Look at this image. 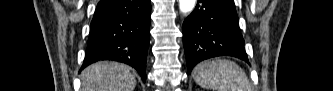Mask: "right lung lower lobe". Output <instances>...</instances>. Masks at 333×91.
Masks as SVG:
<instances>
[{
    "mask_svg": "<svg viewBox=\"0 0 333 91\" xmlns=\"http://www.w3.org/2000/svg\"><path fill=\"white\" fill-rule=\"evenodd\" d=\"M150 14V0H100L81 70L99 60H114L134 67L145 82Z\"/></svg>",
    "mask_w": 333,
    "mask_h": 91,
    "instance_id": "obj_1",
    "label": "right lung lower lobe"
}]
</instances>
